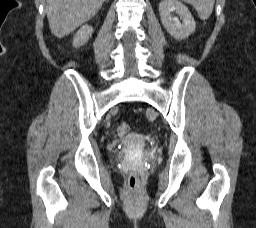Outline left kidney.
<instances>
[{
    "instance_id": "obj_1",
    "label": "left kidney",
    "mask_w": 256,
    "mask_h": 228,
    "mask_svg": "<svg viewBox=\"0 0 256 228\" xmlns=\"http://www.w3.org/2000/svg\"><path fill=\"white\" fill-rule=\"evenodd\" d=\"M171 12H175L181 20L173 17ZM159 14L164 28L175 39H186L196 29L190 11L178 0H163L159 4Z\"/></svg>"
}]
</instances>
